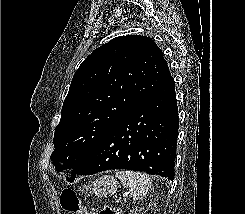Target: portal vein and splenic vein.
I'll return each mask as SVG.
<instances>
[{
    "label": "portal vein and splenic vein",
    "mask_w": 245,
    "mask_h": 214,
    "mask_svg": "<svg viewBox=\"0 0 245 214\" xmlns=\"http://www.w3.org/2000/svg\"><path fill=\"white\" fill-rule=\"evenodd\" d=\"M127 198H128V194L127 193H125V195H124V197H123V201H126L127 200Z\"/></svg>",
    "instance_id": "portal-vein-and-splenic-vein-1"
}]
</instances>
